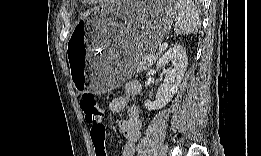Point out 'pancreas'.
I'll return each instance as SVG.
<instances>
[{
	"label": "pancreas",
	"mask_w": 261,
	"mask_h": 156,
	"mask_svg": "<svg viewBox=\"0 0 261 156\" xmlns=\"http://www.w3.org/2000/svg\"><path fill=\"white\" fill-rule=\"evenodd\" d=\"M157 58H158V54H155V51L147 53L143 57L142 61L139 63L137 68L135 69V72L139 73V72L147 69L148 67H150L151 65H153L155 63Z\"/></svg>",
	"instance_id": "pancreas-1"
}]
</instances>
